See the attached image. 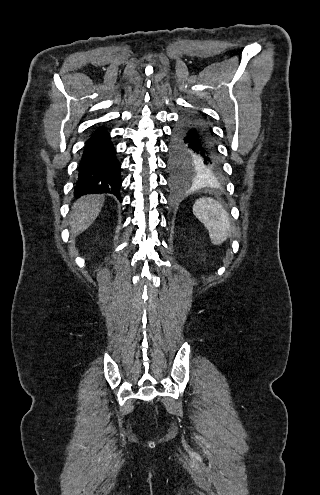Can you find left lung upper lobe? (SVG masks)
<instances>
[{
    "mask_svg": "<svg viewBox=\"0 0 320 495\" xmlns=\"http://www.w3.org/2000/svg\"><path fill=\"white\" fill-rule=\"evenodd\" d=\"M169 167L176 176L207 175V166L200 154L192 147L190 137L182 125H179L174 132Z\"/></svg>",
    "mask_w": 320,
    "mask_h": 495,
    "instance_id": "obj_1",
    "label": "left lung upper lobe"
}]
</instances>
